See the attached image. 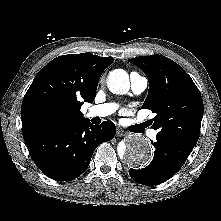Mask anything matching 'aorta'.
I'll return each mask as SVG.
<instances>
[{"label":"aorta","instance_id":"obj_1","mask_svg":"<svg viewBox=\"0 0 221 221\" xmlns=\"http://www.w3.org/2000/svg\"><path fill=\"white\" fill-rule=\"evenodd\" d=\"M107 83L109 90L114 94H125L130 88L129 76L123 69L111 71ZM118 154L128 165L142 167L150 161L152 150L144 136L132 135L119 143Z\"/></svg>","mask_w":221,"mask_h":221}]
</instances>
